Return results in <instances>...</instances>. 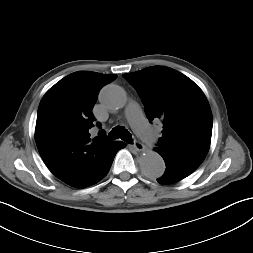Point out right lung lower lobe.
Instances as JSON below:
<instances>
[{
	"label": "right lung lower lobe",
	"mask_w": 253,
	"mask_h": 253,
	"mask_svg": "<svg viewBox=\"0 0 253 253\" xmlns=\"http://www.w3.org/2000/svg\"><path fill=\"white\" fill-rule=\"evenodd\" d=\"M126 146V144L124 142L121 141H112V143L107 147V149L104 152V156H103V171H102V175L100 177V179L98 181H100L104 176H106V174L108 173L113 159L116 155V153L124 148Z\"/></svg>",
	"instance_id": "right-lung-lower-lobe-1"
}]
</instances>
